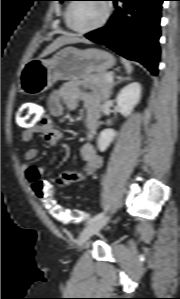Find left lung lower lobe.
Returning a JSON list of instances; mask_svg holds the SVG:
<instances>
[{
  "label": "left lung lower lobe",
  "mask_w": 180,
  "mask_h": 299,
  "mask_svg": "<svg viewBox=\"0 0 180 299\" xmlns=\"http://www.w3.org/2000/svg\"><path fill=\"white\" fill-rule=\"evenodd\" d=\"M115 10L107 25L85 35L121 56L158 73L160 18L164 0H110ZM122 2V4H117Z\"/></svg>",
  "instance_id": "1"
}]
</instances>
